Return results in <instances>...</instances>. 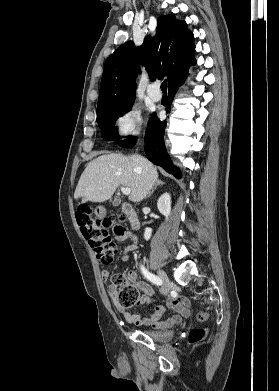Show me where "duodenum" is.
Instances as JSON below:
<instances>
[{
    "instance_id": "duodenum-1",
    "label": "duodenum",
    "mask_w": 279,
    "mask_h": 391,
    "mask_svg": "<svg viewBox=\"0 0 279 391\" xmlns=\"http://www.w3.org/2000/svg\"><path fill=\"white\" fill-rule=\"evenodd\" d=\"M122 210L127 215L132 228L137 230L139 228V220L134 209L130 205L124 203L122 205Z\"/></svg>"
}]
</instances>
